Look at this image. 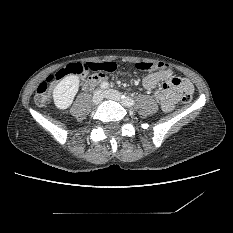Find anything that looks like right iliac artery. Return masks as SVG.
<instances>
[{"instance_id":"obj_1","label":"right iliac artery","mask_w":233,"mask_h":233,"mask_svg":"<svg viewBox=\"0 0 233 233\" xmlns=\"http://www.w3.org/2000/svg\"><path fill=\"white\" fill-rule=\"evenodd\" d=\"M108 86H109V84H108L107 82H103V83L100 85V88L103 89V90H105V89L108 88Z\"/></svg>"}]
</instances>
